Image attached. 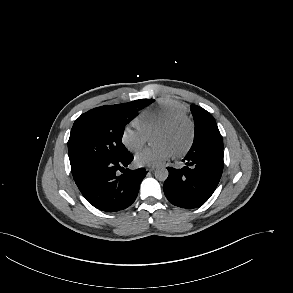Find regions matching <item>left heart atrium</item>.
Returning a JSON list of instances; mask_svg holds the SVG:
<instances>
[{
	"mask_svg": "<svg viewBox=\"0 0 293 293\" xmlns=\"http://www.w3.org/2000/svg\"><path fill=\"white\" fill-rule=\"evenodd\" d=\"M172 149L166 143H157L146 147L135 156V162L139 166H156L173 155Z\"/></svg>",
	"mask_w": 293,
	"mask_h": 293,
	"instance_id": "left-heart-atrium-1",
	"label": "left heart atrium"
}]
</instances>
